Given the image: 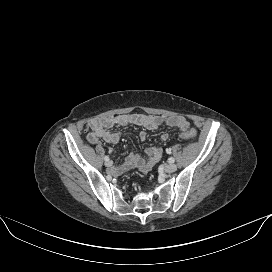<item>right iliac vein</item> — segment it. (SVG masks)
<instances>
[{
  "mask_svg": "<svg viewBox=\"0 0 272 272\" xmlns=\"http://www.w3.org/2000/svg\"><path fill=\"white\" fill-rule=\"evenodd\" d=\"M105 166H106V167L112 166V161H106V162H105Z\"/></svg>",
  "mask_w": 272,
  "mask_h": 272,
  "instance_id": "1",
  "label": "right iliac vein"
}]
</instances>
